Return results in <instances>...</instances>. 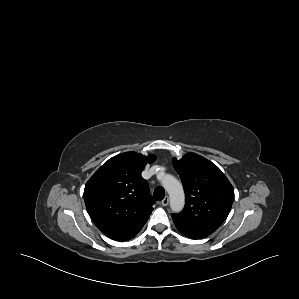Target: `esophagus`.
<instances>
[{"mask_svg": "<svg viewBox=\"0 0 299 299\" xmlns=\"http://www.w3.org/2000/svg\"><path fill=\"white\" fill-rule=\"evenodd\" d=\"M169 203V197L166 196L162 201H161V205L162 206H167Z\"/></svg>", "mask_w": 299, "mask_h": 299, "instance_id": "esophagus-1", "label": "esophagus"}]
</instances>
